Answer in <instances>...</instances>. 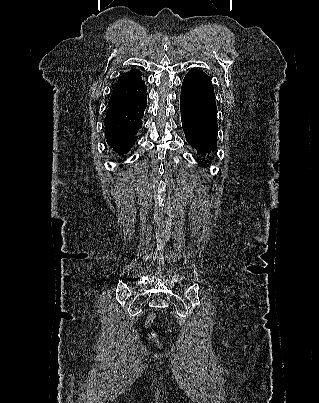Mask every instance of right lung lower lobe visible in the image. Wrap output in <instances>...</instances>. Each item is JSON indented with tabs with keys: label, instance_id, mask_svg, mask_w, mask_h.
<instances>
[{
	"label": "right lung lower lobe",
	"instance_id": "right-lung-lower-lobe-1",
	"mask_svg": "<svg viewBox=\"0 0 319 403\" xmlns=\"http://www.w3.org/2000/svg\"><path fill=\"white\" fill-rule=\"evenodd\" d=\"M147 105L146 91L125 103L108 107L104 120L109 147L119 155L126 154L137 140Z\"/></svg>",
	"mask_w": 319,
	"mask_h": 403
}]
</instances>
